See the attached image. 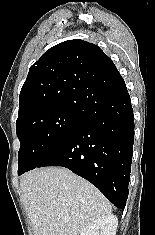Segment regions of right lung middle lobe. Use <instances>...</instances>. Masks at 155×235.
<instances>
[{
    "instance_id": "dd1d6c3e",
    "label": "right lung middle lobe",
    "mask_w": 155,
    "mask_h": 235,
    "mask_svg": "<svg viewBox=\"0 0 155 235\" xmlns=\"http://www.w3.org/2000/svg\"><path fill=\"white\" fill-rule=\"evenodd\" d=\"M82 124L77 110L60 105L40 106L18 116V175L36 168Z\"/></svg>"
}]
</instances>
